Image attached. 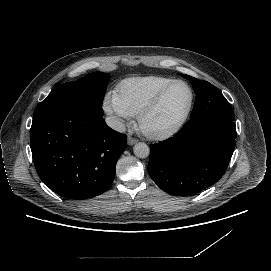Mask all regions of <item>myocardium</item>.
I'll return each mask as SVG.
<instances>
[{
    "mask_svg": "<svg viewBox=\"0 0 271 271\" xmlns=\"http://www.w3.org/2000/svg\"><path fill=\"white\" fill-rule=\"evenodd\" d=\"M177 83H184V84L188 85L191 90V101H190V104H189L185 114L183 115V117L173 127L169 128L167 130L158 131V132H149V131L145 130L143 127L145 120L154 111L157 110V108L162 103V101H163L164 97L166 96V94L168 93V91ZM195 99H196V91H195L194 86L189 81H187L185 79H174L173 81L168 83L164 88H162L161 91L151 101V103H149L142 110V112L139 114L138 124H139L140 129L151 139L165 140V139L172 137L173 135L178 133L182 129V127L186 124V122L188 121V119L191 115V112L194 108V105H195Z\"/></svg>",
    "mask_w": 271,
    "mask_h": 271,
    "instance_id": "f54148a6",
    "label": "myocardium"
}]
</instances>
